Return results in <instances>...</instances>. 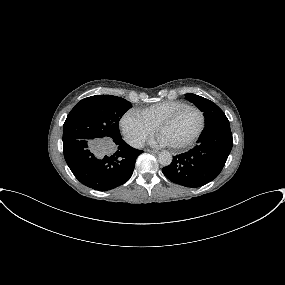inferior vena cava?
I'll return each mask as SVG.
<instances>
[{
	"instance_id": "602c4592",
	"label": "inferior vena cava",
	"mask_w": 285,
	"mask_h": 285,
	"mask_svg": "<svg viewBox=\"0 0 285 285\" xmlns=\"http://www.w3.org/2000/svg\"><path fill=\"white\" fill-rule=\"evenodd\" d=\"M130 145L135 148H141L143 146V141L140 139L134 138L130 141Z\"/></svg>"
}]
</instances>
